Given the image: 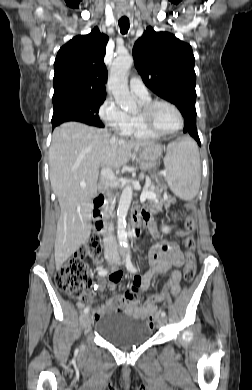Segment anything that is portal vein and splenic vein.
Here are the masks:
<instances>
[{"mask_svg": "<svg viewBox=\"0 0 252 390\" xmlns=\"http://www.w3.org/2000/svg\"><path fill=\"white\" fill-rule=\"evenodd\" d=\"M80 186H81V187H86V184H85L84 182H81V183H80ZM147 186H148V184L145 185V187H147ZM144 189H145V188H144ZM144 189H143V192H142L141 197H140L141 201H144L146 198H153V197L156 196L155 194L149 193V192H147V191L144 190Z\"/></svg>", "mask_w": 252, "mask_h": 390, "instance_id": "obj_1", "label": "portal vein and splenic vein"}]
</instances>
